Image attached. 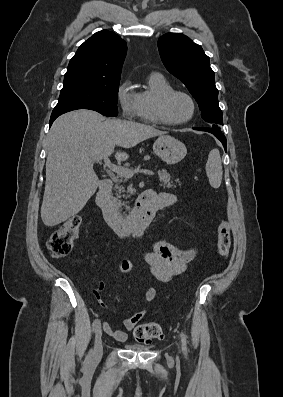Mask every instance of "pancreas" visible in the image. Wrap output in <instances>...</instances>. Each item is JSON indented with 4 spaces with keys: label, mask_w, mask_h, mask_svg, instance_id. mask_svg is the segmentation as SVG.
Masks as SVG:
<instances>
[{
    "label": "pancreas",
    "mask_w": 283,
    "mask_h": 397,
    "mask_svg": "<svg viewBox=\"0 0 283 397\" xmlns=\"http://www.w3.org/2000/svg\"><path fill=\"white\" fill-rule=\"evenodd\" d=\"M158 177L161 182L160 185L163 186L164 188L165 187H167V188H175L176 187L173 184L171 177L166 170H164V169L159 170ZM127 180H128L127 178L122 177V176H118L117 179L115 180L116 185H115L114 190H115L116 197H114V201L119 206L122 215H126L125 212H123L122 207H125L126 210H129V207L127 206V202H122L121 198H129L130 194H132L134 192V189L132 188V186H129L127 188L126 194H124L125 189H124L123 183L127 182Z\"/></svg>",
    "instance_id": "obj_1"
}]
</instances>
